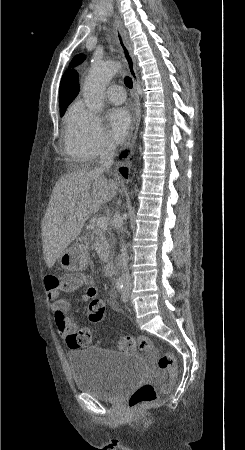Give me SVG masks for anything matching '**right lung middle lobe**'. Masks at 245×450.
I'll return each mask as SVG.
<instances>
[{
	"mask_svg": "<svg viewBox=\"0 0 245 450\" xmlns=\"http://www.w3.org/2000/svg\"><path fill=\"white\" fill-rule=\"evenodd\" d=\"M66 108H67V106H66V107H64V108H61V109H60V115H61V116H62V115L64 114V112H65Z\"/></svg>",
	"mask_w": 245,
	"mask_h": 450,
	"instance_id": "dd1d6c3e",
	"label": "right lung middle lobe"
}]
</instances>
